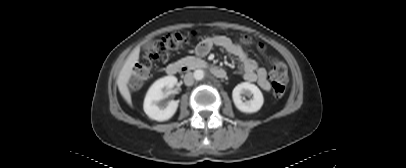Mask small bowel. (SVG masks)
<instances>
[{
	"instance_id": "1",
	"label": "small bowel",
	"mask_w": 406,
	"mask_h": 168,
	"mask_svg": "<svg viewBox=\"0 0 406 168\" xmlns=\"http://www.w3.org/2000/svg\"><path fill=\"white\" fill-rule=\"evenodd\" d=\"M218 46L226 53L235 57L239 62V70L242 77L248 82H256L264 91L270 90V82L267 78L266 70L250 58L246 52L226 36H214L203 40L196 49L199 56H205L212 47Z\"/></svg>"
}]
</instances>
